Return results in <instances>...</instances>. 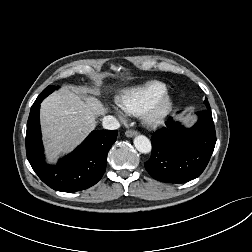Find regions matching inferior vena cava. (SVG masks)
I'll use <instances>...</instances> for the list:
<instances>
[{"label": "inferior vena cava", "mask_w": 252, "mask_h": 252, "mask_svg": "<svg viewBox=\"0 0 252 252\" xmlns=\"http://www.w3.org/2000/svg\"><path fill=\"white\" fill-rule=\"evenodd\" d=\"M102 125L105 129H108V130H115L120 127L119 121L113 116L103 117Z\"/></svg>", "instance_id": "inferior-vena-cava-1"}]
</instances>
